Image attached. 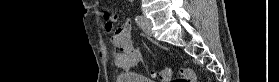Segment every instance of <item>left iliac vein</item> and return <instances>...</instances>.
I'll return each instance as SVG.
<instances>
[{"instance_id": "obj_1", "label": "left iliac vein", "mask_w": 279, "mask_h": 82, "mask_svg": "<svg viewBox=\"0 0 279 82\" xmlns=\"http://www.w3.org/2000/svg\"><path fill=\"white\" fill-rule=\"evenodd\" d=\"M140 27L144 31V33L148 36H152V22L148 18H144L141 22H139Z\"/></svg>"}]
</instances>
